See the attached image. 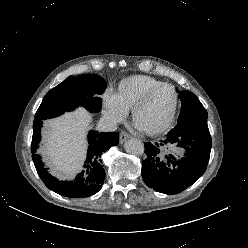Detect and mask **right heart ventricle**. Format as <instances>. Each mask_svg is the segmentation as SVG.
I'll list each match as a JSON object with an SVG mask.
<instances>
[{"label": "right heart ventricle", "instance_id": "right-heart-ventricle-1", "mask_svg": "<svg viewBox=\"0 0 248 248\" xmlns=\"http://www.w3.org/2000/svg\"><path fill=\"white\" fill-rule=\"evenodd\" d=\"M160 83V80L148 75H132L118 83L113 96L123 110L129 112L148 90Z\"/></svg>", "mask_w": 248, "mask_h": 248}]
</instances>
